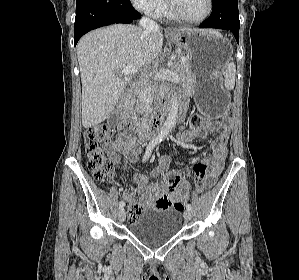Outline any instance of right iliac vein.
<instances>
[{
  "label": "right iliac vein",
  "instance_id": "right-iliac-vein-1",
  "mask_svg": "<svg viewBox=\"0 0 299 280\" xmlns=\"http://www.w3.org/2000/svg\"><path fill=\"white\" fill-rule=\"evenodd\" d=\"M118 218H119V220H120L121 222H124V221H125L126 213H125L124 208H120V209H119Z\"/></svg>",
  "mask_w": 299,
  "mask_h": 280
}]
</instances>
